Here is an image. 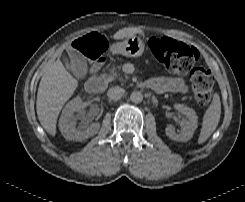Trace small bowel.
<instances>
[{
  "instance_id": "obj_1",
  "label": "small bowel",
  "mask_w": 245,
  "mask_h": 202,
  "mask_svg": "<svg viewBox=\"0 0 245 202\" xmlns=\"http://www.w3.org/2000/svg\"><path fill=\"white\" fill-rule=\"evenodd\" d=\"M144 86L154 90L157 93H185L188 89L187 82L182 77L154 76L147 81Z\"/></svg>"
}]
</instances>
